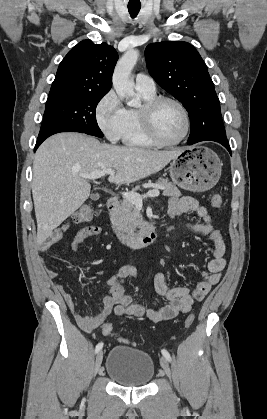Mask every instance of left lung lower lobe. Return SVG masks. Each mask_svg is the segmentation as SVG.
Listing matches in <instances>:
<instances>
[{
    "label": "left lung lower lobe",
    "instance_id": "obj_1",
    "mask_svg": "<svg viewBox=\"0 0 267 419\" xmlns=\"http://www.w3.org/2000/svg\"><path fill=\"white\" fill-rule=\"evenodd\" d=\"M211 140L222 144L231 154V149L226 137L215 138L212 130L209 127H206V124H203L200 129L196 131H191L188 138L187 144L192 145L200 141Z\"/></svg>",
    "mask_w": 267,
    "mask_h": 419
}]
</instances>
